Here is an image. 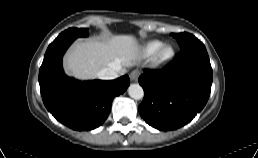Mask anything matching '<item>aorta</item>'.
Here are the masks:
<instances>
[{"instance_id": "obj_1", "label": "aorta", "mask_w": 258, "mask_h": 158, "mask_svg": "<svg viewBox=\"0 0 258 158\" xmlns=\"http://www.w3.org/2000/svg\"><path fill=\"white\" fill-rule=\"evenodd\" d=\"M128 94L131 98L140 100L144 96V91L139 84H131L128 88Z\"/></svg>"}]
</instances>
